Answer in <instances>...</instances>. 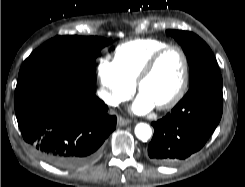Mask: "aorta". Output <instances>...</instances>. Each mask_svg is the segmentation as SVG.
<instances>
[{"instance_id":"obj_1","label":"aorta","mask_w":245,"mask_h":187,"mask_svg":"<svg viewBox=\"0 0 245 187\" xmlns=\"http://www.w3.org/2000/svg\"><path fill=\"white\" fill-rule=\"evenodd\" d=\"M135 135L138 139L147 141L152 135L151 127L146 123H139L135 127Z\"/></svg>"}]
</instances>
